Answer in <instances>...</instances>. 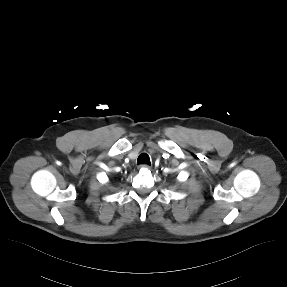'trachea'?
<instances>
[{"label":"trachea","instance_id":"3493384b","mask_svg":"<svg viewBox=\"0 0 287 287\" xmlns=\"http://www.w3.org/2000/svg\"><path fill=\"white\" fill-rule=\"evenodd\" d=\"M137 164H148L151 165L149 156L145 153H142L138 159H137Z\"/></svg>","mask_w":287,"mask_h":287}]
</instances>
